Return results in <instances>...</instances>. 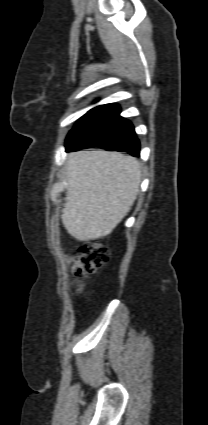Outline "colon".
Wrapping results in <instances>:
<instances>
[{
	"instance_id": "obj_1",
	"label": "colon",
	"mask_w": 208,
	"mask_h": 425,
	"mask_svg": "<svg viewBox=\"0 0 208 425\" xmlns=\"http://www.w3.org/2000/svg\"><path fill=\"white\" fill-rule=\"evenodd\" d=\"M109 260L108 249L98 241L83 243L73 254L74 274L78 278L95 273Z\"/></svg>"
}]
</instances>
